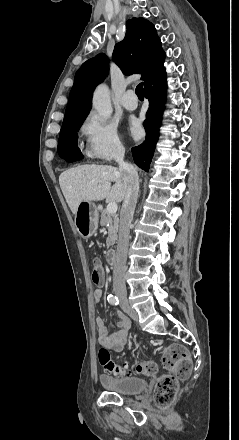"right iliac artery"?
I'll use <instances>...</instances> for the list:
<instances>
[{
  "label": "right iliac artery",
  "mask_w": 239,
  "mask_h": 440,
  "mask_svg": "<svg viewBox=\"0 0 239 440\" xmlns=\"http://www.w3.org/2000/svg\"><path fill=\"white\" fill-rule=\"evenodd\" d=\"M107 300H108V302H109L110 304H112V305H118V304H119V300H118V298H117L116 296L109 295V296L107 297Z\"/></svg>",
  "instance_id": "obj_1"
}]
</instances>
